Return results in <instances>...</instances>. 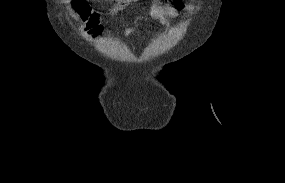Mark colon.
Instances as JSON below:
<instances>
[{"label": "colon", "instance_id": "1", "mask_svg": "<svg viewBox=\"0 0 285 183\" xmlns=\"http://www.w3.org/2000/svg\"><path fill=\"white\" fill-rule=\"evenodd\" d=\"M177 6H181L182 0H172ZM74 9L86 24V28L92 35H97L101 31L98 17L91 12L90 6L85 0H75Z\"/></svg>", "mask_w": 285, "mask_h": 183}]
</instances>
